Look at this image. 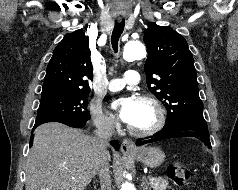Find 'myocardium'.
Segmentation results:
<instances>
[{"label":"myocardium","instance_id":"myocardium-1","mask_svg":"<svg viewBox=\"0 0 238 190\" xmlns=\"http://www.w3.org/2000/svg\"><path fill=\"white\" fill-rule=\"evenodd\" d=\"M138 101L147 103L150 105L154 111L155 114V120L153 124L145 129H137L132 127L131 125L127 126L128 131L137 137H148L151 136L158 131H160L166 120L165 111L162 107L161 103L152 95L149 94H141L137 97Z\"/></svg>","mask_w":238,"mask_h":190}]
</instances>
